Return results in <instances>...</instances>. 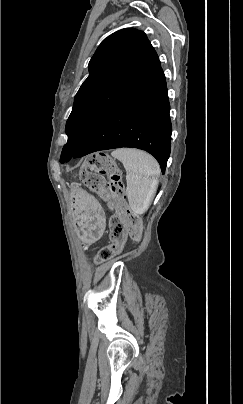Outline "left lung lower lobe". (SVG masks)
<instances>
[{
    "label": "left lung lower lobe",
    "mask_w": 243,
    "mask_h": 404,
    "mask_svg": "<svg viewBox=\"0 0 243 404\" xmlns=\"http://www.w3.org/2000/svg\"><path fill=\"white\" fill-rule=\"evenodd\" d=\"M169 110L166 80L160 69L104 112L70 159L100 150L133 147L153 155L165 173L171 149Z\"/></svg>",
    "instance_id": "0a47b994"
}]
</instances>
